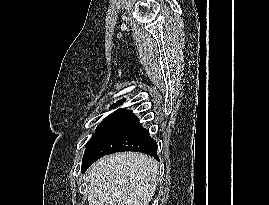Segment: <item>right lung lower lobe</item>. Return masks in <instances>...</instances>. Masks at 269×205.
<instances>
[{
  "mask_svg": "<svg viewBox=\"0 0 269 205\" xmlns=\"http://www.w3.org/2000/svg\"><path fill=\"white\" fill-rule=\"evenodd\" d=\"M157 143L142 127L138 118L130 111H124L115 117L87 146L83 160L82 172L97 159L121 151H136L154 156L159 160L156 151Z\"/></svg>",
  "mask_w": 269,
  "mask_h": 205,
  "instance_id": "right-lung-lower-lobe-1",
  "label": "right lung lower lobe"
}]
</instances>
